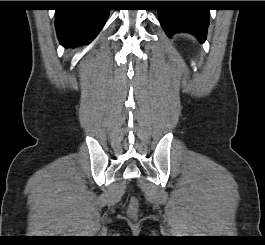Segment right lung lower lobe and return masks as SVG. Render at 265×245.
Listing matches in <instances>:
<instances>
[{
  "mask_svg": "<svg viewBox=\"0 0 265 245\" xmlns=\"http://www.w3.org/2000/svg\"><path fill=\"white\" fill-rule=\"evenodd\" d=\"M103 1H80L78 7L56 10L57 36L66 48L90 43L103 28L109 9Z\"/></svg>",
  "mask_w": 265,
  "mask_h": 245,
  "instance_id": "98d812e1",
  "label": "right lung lower lobe"
}]
</instances>
